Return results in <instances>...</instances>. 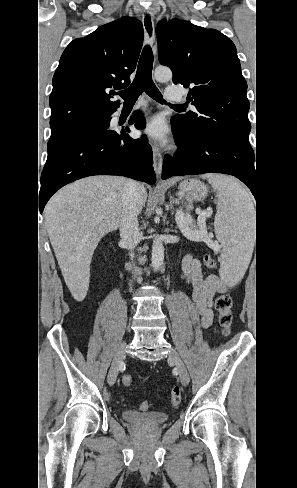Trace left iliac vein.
I'll use <instances>...</instances> for the list:
<instances>
[{
  "label": "left iliac vein",
  "mask_w": 297,
  "mask_h": 488,
  "mask_svg": "<svg viewBox=\"0 0 297 488\" xmlns=\"http://www.w3.org/2000/svg\"><path fill=\"white\" fill-rule=\"evenodd\" d=\"M168 361L174 364L178 370L179 378L183 386H187L190 378L187 368L185 367L180 355L175 349H171L168 354Z\"/></svg>",
  "instance_id": "1"
}]
</instances>
